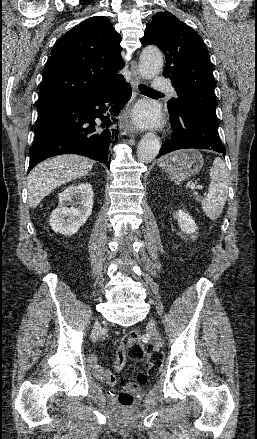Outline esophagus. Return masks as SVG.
<instances>
[{"label":"esophagus","instance_id":"34e87169","mask_svg":"<svg viewBox=\"0 0 257 439\" xmlns=\"http://www.w3.org/2000/svg\"><path fill=\"white\" fill-rule=\"evenodd\" d=\"M130 71H131V86H132V97L131 100L128 103V111H127V115L125 117V122H124V128L125 130L130 133V134H136L137 133V127L135 126L132 118H131V114H130V109L133 105V103L135 102V100L137 99L138 96V85L141 83V77L139 74V69L137 66V62L135 60H133L131 62V67H130Z\"/></svg>","mask_w":257,"mask_h":439}]
</instances>
